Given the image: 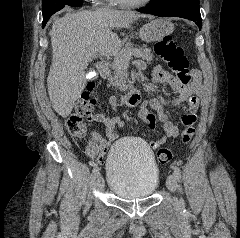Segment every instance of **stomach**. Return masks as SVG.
Listing matches in <instances>:
<instances>
[{
  "instance_id": "1",
  "label": "stomach",
  "mask_w": 240,
  "mask_h": 238,
  "mask_svg": "<svg viewBox=\"0 0 240 238\" xmlns=\"http://www.w3.org/2000/svg\"><path fill=\"white\" fill-rule=\"evenodd\" d=\"M174 25L166 19H153L140 29V38L147 43L155 42L163 39L171 34Z\"/></svg>"
}]
</instances>
